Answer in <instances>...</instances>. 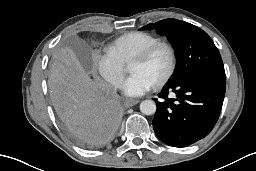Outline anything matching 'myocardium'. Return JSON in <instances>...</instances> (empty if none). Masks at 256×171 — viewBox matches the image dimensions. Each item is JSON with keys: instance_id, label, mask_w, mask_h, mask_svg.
Here are the masks:
<instances>
[{"instance_id": "f54148a6", "label": "myocardium", "mask_w": 256, "mask_h": 171, "mask_svg": "<svg viewBox=\"0 0 256 171\" xmlns=\"http://www.w3.org/2000/svg\"><path fill=\"white\" fill-rule=\"evenodd\" d=\"M160 48H165L168 51L170 57V64L165 75L157 83L154 84V87L156 88H161L165 84H167L175 73L177 67V55L175 48L169 42L157 41L136 54L131 61V63L145 62L149 60L153 56V54Z\"/></svg>"}]
</instances>
